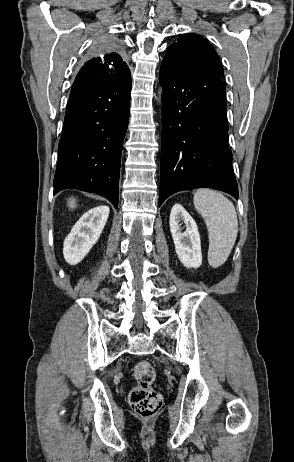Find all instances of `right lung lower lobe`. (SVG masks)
Here are the masks:
<instances>
[{"label":"right lung lower lobe","instance_id":"right-lung-lower-lobe-1","mask_svg":"<svg viewBox=\"0 0 294 462\" xmlns=\"http://www.w3.org/2000/svg\"><path fill=\"white\" fill-rule=\"evenodd\" d=\"M130 92L131 74L97 89L70 93L58 146L54 194L65 188L94 192L117 208Z\"/></svg>","mask_w":294,"mask_h":462}]
</instances>
